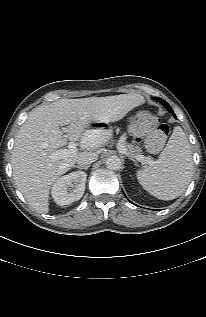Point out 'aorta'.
<instances>
[{
	"instance_id": "1",
	"label": "aorta",
	"mask_w": 206,
	"mask_h": 317,
	"mask_svg": "<svg viewBox=\"0 0 206 317\" xmlns=\"http://www.w3.org/2000/svg\"><path fill=\"white\" fill-rule=\"evenodd\" d=\"M106 166L110 170H119L121 168V160L116 155L109 156L106 159Z\"/></svg>"
}]
</instances>
